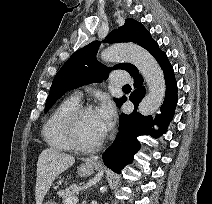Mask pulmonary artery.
<instances>
[{
  "mask_svg": "<svg viewBox=\"0 0 212 204\" xmlns=\"http://www.w3.org/2000/svg\"><path fill=\"white\" fill-rule=\"evenodd\" d=\"M129 80H130V78L127 74H125V73H115L111 77V84L113 86H121V85L128 83ZM75 98L80 100L81 93L80 92L76 93Z\"/></svg>",
  "mask_w": 212,
  "mask_h": 204,
  "instance_id": "obj_1",
  "label": "pulmonary artery"
}]
</instances>
